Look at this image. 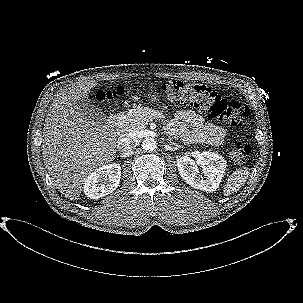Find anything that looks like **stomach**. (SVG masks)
<instances>
[{"label": "stomach", "mask_w": 303, "mask_h": 303, "mask_svg": "<svg viewBox=\"0 0 303 303\" xmlns=\"http://www.w3.org/2000/svg\"><path fill=\"white\" fill-rule=\"evenodd\" d=\"M158 98H159V96L154 93H150L148 95V99H149L150 103H156L159 100Z\"/></svg>", "instance_id": "stomach-1"}]
</instances>
